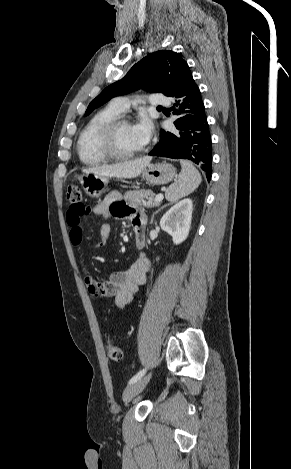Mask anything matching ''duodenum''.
<instances>
[{
	"mask_svg": "<svg viewBox=\"0 0 291 469\" xmlns=\"http://www.w3.org/2000/svg\"><path fill=\"white\" fill-rule=\"evenodd\" d=\"M135 242L136 246L141 249L145 243V231L140 227H135Z\"/></svg>",
	"mask_w": 291,
	"mask_h": 469,
	"instance_id": "410a0bca",
	"label": "duodenum"
}]
</instances>
